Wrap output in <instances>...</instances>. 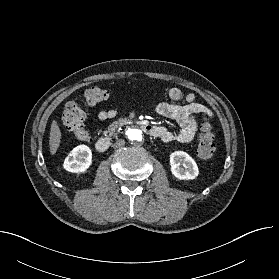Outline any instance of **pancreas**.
<instances>
[{
	"instance_id": "1",
	"label": "pancreas",
	"mask_w": 279,
	"mask_h": 279,
	"mask_svg": "<svg viewBox=\"0 0 279 279\" xmlns=\"http://www.w3.org/2000/svg\"><path fill=\"white\" fill-rule=\"evenodd\" d=\"M119 127H121V124L118 121H115L109 126L108 130L103 132V134L109 137L116 136V131Z\"/></svg>"
}]
</instances>
